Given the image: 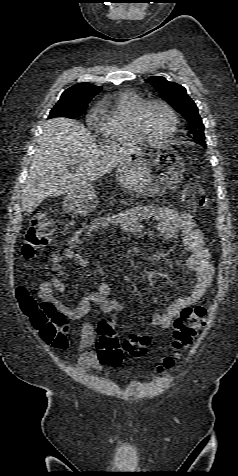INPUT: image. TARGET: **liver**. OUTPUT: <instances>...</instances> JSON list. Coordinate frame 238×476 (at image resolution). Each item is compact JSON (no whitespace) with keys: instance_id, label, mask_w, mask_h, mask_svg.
Instances as JSON below:
<instances>
[{"instance_id":"1","label":"liver","mask_w":238,"mask_h":476,"mask_svg":"<svg viewBox=\"0 0 238 476\" xmlns=\"http://www.w3.org/2000/svg\"><path fill=\"white\" fill-rule=\"evenodd\" d=\"M137 153L141 150L136 146L96 144L90 132L75 120L47 121L22 189L23 211L29 215L47 197L90 185ZM69 168H76V172L70 173Z\"/></svg>"}]
</instances>
